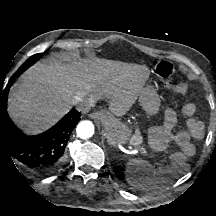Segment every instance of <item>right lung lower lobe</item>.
Wrapping results in <instances>:
<instances>
[{"label":"right lung lower lobe","instance_id":"right-lung-lower-lobe-1","mask_svg":"<svg viewBox=\"0 0 216 216\" xmlns=\"http://www.w3.org/2000/svg\"><path fill=\"white\" fill-rule=\"evenodd\" d=\"M14 80L12 76L0 92V157L18 161L36 175L52 174L62 163L67 141L81 113L70 111L44 133L23 135L7 113L8 92Z\"/></svg>","mask_w":216,"mask_h":216}]
</instances>
